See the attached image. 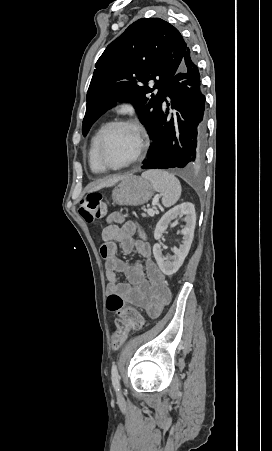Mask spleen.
I'll return each mask as SVG.
<instances>
[{
  "label": "spleen",
  "mask_w": 272,
  "mask_h": 451,
  "mask_svg": "<svg viewBox=\"0 0 272 451\" xmlns=\"http://www.w3.org/2000/svg\"><path fill=\"white\" fill-rule=\"evenodd\" d=\"M141 176L144 180H149L155 192H160L163 196L162 204L165 208H170L178 202L182 188L179 180L173 174L164 172V170H148V172H143Z\"/></svg>",
  "instance_id": "spleen-1"
}]
</instances>
